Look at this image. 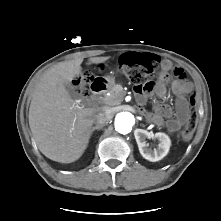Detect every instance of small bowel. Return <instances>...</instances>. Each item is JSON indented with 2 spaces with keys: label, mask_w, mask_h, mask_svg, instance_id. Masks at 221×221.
<instances>
[{
  "label": "small bowel",
  "mask_w": 221,
  "mask_h": 221,
  "mask_svg": "<svg viewBox=\"0 0 221 221\" xmlns=\"http://www.w3.org/2000/svg\"><path fill=\"white\" fill-rule=\"evenodd\" d=\"M140 54L149 53H133L126 52L121 55V61L130 60L132 57ZM160 74L158 81L153 88L149 91L143 88L136 89V95L138 100L142 103L146 99L155 95L158 98L164 99L166 97L165 82L169 80L170 74L174 76L172 83L173 90L178 95V99L174 107L169 105L157 103L154 105L152 111H146V116L158 125H164L169 133H178L182 126L187 122L189 117V103L186 98V94L191 89V85L187 79L186 73L183 68L175 66L170 60H162L160 63Z\"/></svg>",
  "instance_id": "obj_1"
}]
</instances>
